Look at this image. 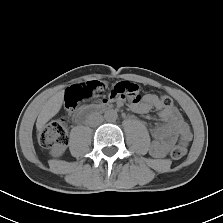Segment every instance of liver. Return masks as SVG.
<instances>
[{
  "label": "liver",
  "instance_id": "1",
  "mask_svg": "<svg viewBox=\"0 0 223 223\" xmlns=\"http://www.w3.org/2000/svg\"><path fill=\"white\" fill-rule=\"evenodd\" d=\"M63 96L64 92L59 91L43 105L36 122L37 130L41 131L44 125L59 112L63 103Z\"/></svg>",
  "mask_w": 223,
  "mask_h": 223
}]
</instances>
